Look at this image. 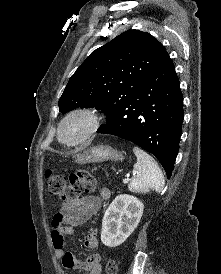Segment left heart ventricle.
<instances>
[{"mask_svg":"<svg viewBox=\"0 0 221 274\" xmlns=\"http://www.w3.org/2000/svg\"><path fill=\"white\" fill-rule=\"evenodd\" d=\"M85 125L80 120H73L69 122L63 132V137L66 140H74L76 137L79 136V134L84 130Z\"/></svg>","mask_w":221,"mask_h":274,"instance_id":"b2bd125f","label":"left heart ventricle"}]
</instances>
